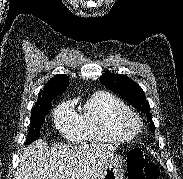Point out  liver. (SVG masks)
<instances>
[{"label": "liver", "mask_w": 183, "mask_h": 179, "mask_svg": "<svg viewBox=\"0 0 183 179\" xmlns=\"http://www.w3.org/2000/svg\"><path fill=\"white\" fill-rule=\"evenodd\" d=\"M117 148L116 144L61 143L49 149L39 139L24 149L15 179H97Z\"/></svg>", "instance_id": "6515ba94"}]
</instances>
